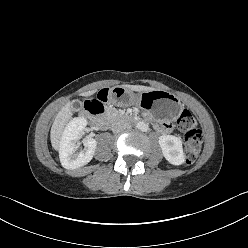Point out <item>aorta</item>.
Wrapping results in <instances>:
<instances>
[{"label": "aorta", "instance_id": "obj_1", "mask_svg": "<svg viewBox=\"0 0 248 248\" xmlns=\"http://www.w3.org/2000/svg\"><path fill=\"white\" fill-rule=\"evenodd\" d=\"M137 128L140 129L141 131H147L148 130V125L144 122H138L137 123Z\"/></svg>", "mask_w": 248, "mask_h": 248}]
</instances>
